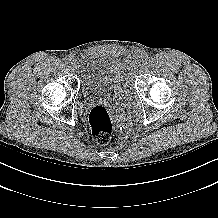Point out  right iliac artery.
Here are the masks:
<instances>
[{
  "mask_svg": "<svg viewBox=\"0 0 218 218\" xmlns=\"http://www.w3.org/2000/svg\"><path fill=\"white\" fill-rule=\"evenodd\" d=\"M71 60H72V58H71L70 56H67V57L64 58V62H65L66 64L71 63Z\"/></svg>",
  "mask_w": 218,
  "mask_h": 218,
  "instance_id": "82829eb1",
  "label": "right iliac artery"
}]
</instances>
